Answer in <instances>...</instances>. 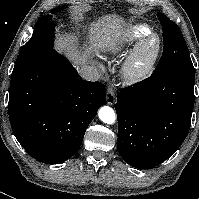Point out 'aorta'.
I'll return each instance as SVG.
<instances>
[{
    "instance_id": "1",
    "label": "aorta",
    "mask_w": 199,
    "mask_h": 199,
    "mask_svg": "<svg viewBox=\"0 0 199 199\" xmlns=\"http://www.w3.org/2000/svg\"><path fill=\"white\" fill-rule=\"evenodd\" d=\"M99 119L106 124H113L116 116L114 110L109 106H103L99 110Z\"/></svg>"
}]
</instances>
